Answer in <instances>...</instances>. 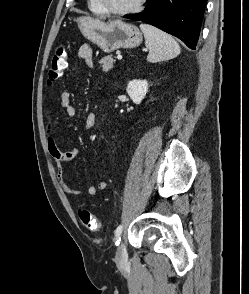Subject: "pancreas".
<instances>
[{"label":"pancreas","mask_w":249,"mask_h":294,"mask_svg":"<svg viewBox=\"0 0 249 294\" xmlns=\"http://www.w3.org/2000/svg\"><path fill=\"white\" fill-rule=\"evenodd\" d=\"M115 60L112 55H107L100 60L104 72H108L113 68Z\"/></svg>","instance_id":"obj_1"}]
</instances>
